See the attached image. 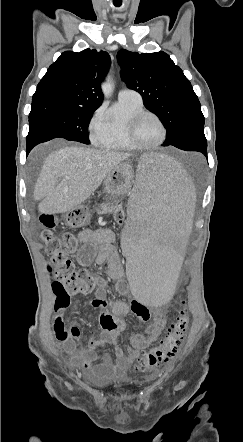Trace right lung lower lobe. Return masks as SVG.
Listing matches in <instances>:
<instances>
[{"label":"right lung lower lobe","mask_w":243,"mask_h":442,"mask_svg":"<svg viewBox=\"0 0 243 442\" xmlns=\"http://www.w3.org/2000/svg\"><path fill=\"white\" fill-rule=\"evenodd\" d=\"M54 138H64V134L42 126L31 127L26 138V153L28 154L31 149L37 144L49 141Z\"/></svg>","instance_id":"98d812e1"}]
</instances>
